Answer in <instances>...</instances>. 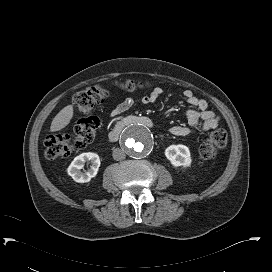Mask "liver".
Segmentation results:
<instances>
[{"instance_id":"1","label":"liver","mask_w":272,"mask_h":272,"mask_svg":"<svg viewBox=\"0 0 272 272\" xmlns=\"http://www.w3.org/2000/svg\"><path fill=\"white\" fill-rule=\"evenodd\" d=\"M73 117V106L67 105L64 107L52 120L50 131L56 132L65 128Z\"/></svg>"}]
</instances>
